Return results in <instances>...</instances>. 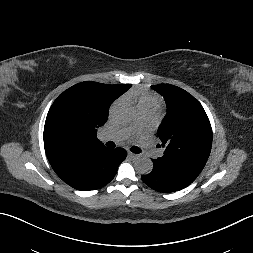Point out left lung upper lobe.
I'll return each mask as SVG.
<instances>
[{
    "label": "left lung upper lobe",
    "instance_id": "obj_1",
    "mask_svg": "<svg viewBox=\"0 0 253 253\" xmlns=\"http://www.w3.org/2000/svg\"><path fill=\"white\" fill-rule=\"evenodd\" d=\"M152 88L164 96L168 107L157 132L165 148L159 159L200 173L212 145V129L205 110L179 87L161 84Z\"/></svg>",
    "mask_w": 253,
    "mask_h": 253
}]
</instances>
